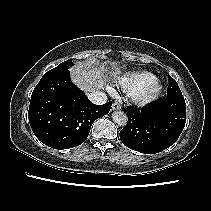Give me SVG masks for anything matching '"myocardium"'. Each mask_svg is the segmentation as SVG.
Listing matches in <instances>:
<instances>
[{
	"label": "myocardium",
	"mask_w": 211,
	"mask_h": 211,
	"mask_svg": "<svg viewBox=\"0 0 211 211\" xmlns=\"http://www.w3.org/2000/svg\"><path fill=\"white\" fill-rule=\"evenodd\" d=\"M162 90V84L156 79L134 93L133 100L139 105L150 104L160 96Z\"/></svg>",
	"instance_id": "f54148a6"
}]
</instances>
